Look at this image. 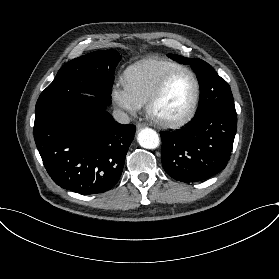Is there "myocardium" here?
<instances>
[{"label":"myocardium","instance_id":"obj_1","mask_svg":"<svg viewBox=\"0 0 279 279\" xmlns=\"http://www.w3.org/2000/svg\"><path fill=\"white\" fill-rule=\"evenodd\" d=\"M187 73L189 74L194 82V95L192 98V101L190 105L187 107V109L177 118L174 119H164L156 114V105L166 92L167 88L169 87L170 83L179 75ZM200 99V82L198 80V77L196 74L188 69L183 68L176 71H173L169 74H167L159 83V85L156 87V89L152 92L150 98L148 99L147 103V114L149 119L157 124L160 127L166 128V129H176L179 127L184 126L187 124L195 115L198 104Z\"/></svg>","mask_w":279,"mask_h":279}]
</instances>
